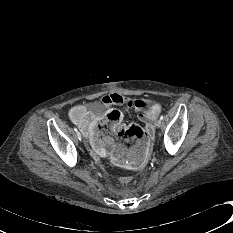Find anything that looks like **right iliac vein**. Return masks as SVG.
<instances>
[{
  "label": "right iliac vein",
  "instance_id": "obj_1",
  "mask_svg": "<svg viewBox=\"0 0 233 233\" xmlns=\"http://www.w3.org/2000/svg\"><path fill=\"white\" fill-rule=\"evenodd\" d=\"M77 138H78L79 140L82 139V136H81L80 132H77Z\"/></svg>",
  "mask_w": 233,
  "mask_h": 233
}]
</instances>
